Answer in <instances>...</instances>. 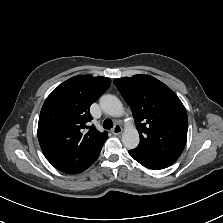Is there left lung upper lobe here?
Listing matches in <instances>:
<instances>
[{
	"mask_svg": "<svg viewBox=\"0 0 223 223\" xmlns=\"http://www.w3.org/2000/svg\"><path fill=\"white\" fill-rule=\"evenodd\" d=\"M132 109L139 145L136 155L174 163L187 140L188 117L177 95L150 75H134L114 80Z\"/></svg>",
	"mask_w": 223,
	"mask_h": 223,
	"instance_id": "obj_1",
	"label": "left lung upper lobe"
}]
</instances>
